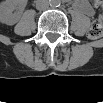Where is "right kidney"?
<instances>
[{
	"mask_svg": "<svg viewBox=\"0 0 103 103\" xmlns=\"http://www.w3.org/2000/svg\"><path fill=\"white\" fill-rule=\"evenodd\" d=\"M19 6V7H18ZM15 9L17 12L13 13ZM24 6L20 2L14 0H5L0 5V21L6 25H14L18 22Z\"/></svg>",
	"mask_w": 103,
	"mask_h": 103,
	"instance_id": "obj_1",
	"label": "right kidney"
}]
</instances>
